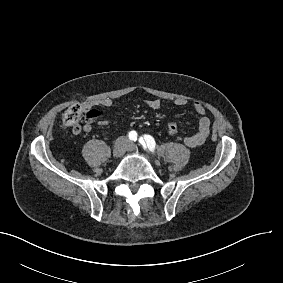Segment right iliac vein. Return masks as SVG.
<instances>
[{"mask_svg": "<svg viewBox=\"0 0 283 283\" xmlns=\"http://www.w3.org/2000/svg\"><path fill=\"white\" fill-rule=\"evenodd\" d=\"M128 144L125 140H119L115 143L113 148V156L116 158L122 157L126 152Z\"/></svg>", "mask_w": 283, "mask_h": 283, "instance_id": "obj_1", "label": "right iliac vein"}]
</instances>
